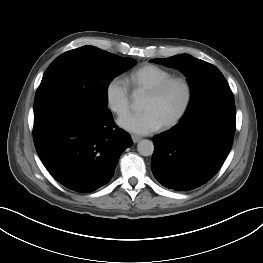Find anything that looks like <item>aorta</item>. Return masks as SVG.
Masks as SVG:
<instances>
[{
    "label": "aorta",
    "mask_w": 263,
    "mask_h": 263,
    "mask_svg": "<svg viewBox=\"0 0 263 263\" xmlns=\"http://www.w3.org/2000/svg\"><path fill=\"white\" fill-rule=\"evenodd\" d=\"M140 105V98L134 95L133 108L136 109ZM137 150L142 156H151L154 152V144L152 141L144 139L137 144Z\"/></svg>",
    "instance_id": "762f6f07"
}]
</instances>
